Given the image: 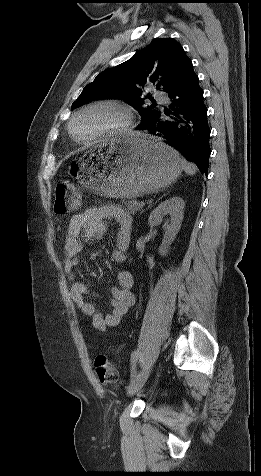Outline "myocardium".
<instances>
[{"instance_id":"1","label":"myocardium","mask_w":261,"mask_h":476,"mask_svg":"<svg viewBox=\"0 0 261 476\" xmlns=\"http://www.w3.org/2000/svg\"><path fill=\"white\" fill-rule=\"evenodd\" d=\"M99 107H110L117 110L122 116L121 122L114 128L108 129L91 139H88V140L78 139L75 136L74 130H73L74 122L83 113L99 108ZM134 119H135L134 111L128 104L118 100H113V99H101V100L90 102L82 106L81 108H79L76 112H74V114L72 115L68 123V132L72 140L75 141L76 143L81 145H91L99 141H102L104 139L114 137V136H119L126 133L132 127L134 123Z\"/></svg>"}]
</instances>
